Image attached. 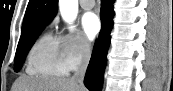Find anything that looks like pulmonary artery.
<instances>
[{
    "mask_svg": "<svg viewBox=\"0 0 173 91\" xmlns=\"http://www.w3.org/2000/svg\"><path fill=\"white\" fill-rule=\"evenodd\" d=\"M95 1L94 0H81L80 6L85 10H90L94 7Z\"/></svg>",
    "mask_w": 173,
    "mask_h": 91,
    "instance_id": "obj_1",
    "label": "pulmonary artery"
}]
</instances>
